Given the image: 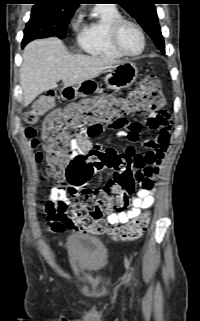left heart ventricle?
<instances>
[{
	"instance_id": "obj_1",
	"label": "left heart ventricle",
	"mask_w": 200,
	"mask_h": 321,
	"mask_svg": "<svg viewBox=\"0 0 200 321\" xmlns=\"http://www.w3.org/2000/svg\"><path fill=\"white\" fill-rule=\"evenodd\" d=\"M121 46L130 53H137L142 48V38L139 32L131 25H125L119 36Z\"/></svg>"
}]
</instances>
